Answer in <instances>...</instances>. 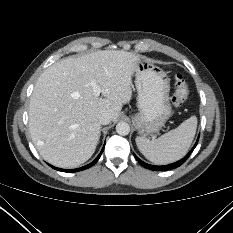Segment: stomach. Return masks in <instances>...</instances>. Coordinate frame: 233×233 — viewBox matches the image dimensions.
Instances as JSON below:
<instances>
[{"label": "stomach", "mask_w": 233, "mask_h": 233, "mask_svg": "<svg viewBox=\"0 0 233 233\" xmlns=\"http://www.w3.org/2000/svg\"><path fill=\"white\" fill-rule=\"evenodd\" d=\"M134 72L139 110L134 122L139 134L147 136L158 132L171 116L169 78L159 66L145 57H140L136 62Z\"/></svg>", "instance_id": "obj_1"}]
</instances>
